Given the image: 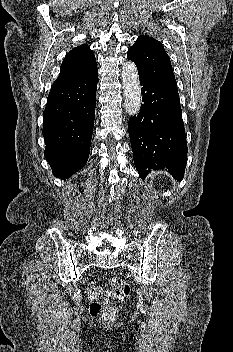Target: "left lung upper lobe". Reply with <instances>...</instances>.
Masks as SVG:
<instances>
[{
	"mask_svg": "<svg viewBox=\"0 0 233 352\" xmlns=\"http://www.w3.org/2000/svg\"><path fill=\"white\" fill-rule=\"evenodd\" d=\"M127 58L136 64L140 74L157 80L178 92L169 56L161 42L141 35L129 49Z\"/></svg>",
	"mask_w": 233,
	"mask_h": 352,
	"instance_id": "left-lung-upper-lobe-1",
	"label": "left lung upper lobe"
}]
</instances>
